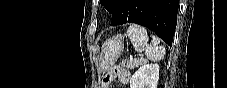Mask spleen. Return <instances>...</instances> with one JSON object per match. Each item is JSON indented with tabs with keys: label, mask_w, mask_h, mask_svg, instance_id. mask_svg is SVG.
<instances>
[{
	"label": "spleen",
	"mask_w": 227,
	"mask_h": 88,
	"mask_svg": "<svg viewBox=\"0 0 227 88\" xmlns=\"http://www.w3.org/2000/svg\"><path fill=\"white\" fill-rule=\"evenodd\" d=\"M128 37L137 52L145 51L147 59L159 61L165 55V48L160 45L156 36L148 35L147 30L137 24H132L127 30Z\"/></svg>",
	"instance_id": "obj_1"
}]
</instances>
